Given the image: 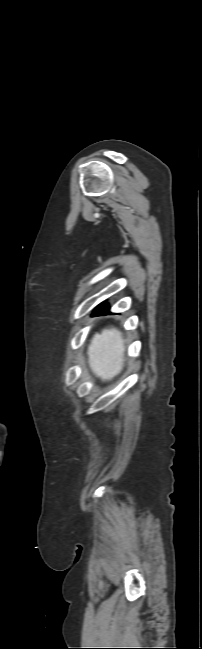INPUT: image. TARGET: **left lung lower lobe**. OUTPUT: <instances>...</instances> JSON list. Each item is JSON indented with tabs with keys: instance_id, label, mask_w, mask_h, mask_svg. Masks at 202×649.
Here are the masks:
<instances>
[{
	"instance_id": "0a47b994",
	"label": "left lung lower lobe",
	"mask_w": 202,
	"mask_h": 649,
	"mask_svg": "<svg viewBox=\"0 0 202 649\" xmlns=\"http://www.w3.org/2000/svg\"><path fill=\"white\" fill-rule=\"evenodd\" d=\"M111 314L107 303H102L97 306L92 314V316L106 315Z\"/></svg>"
}]
</instances>
